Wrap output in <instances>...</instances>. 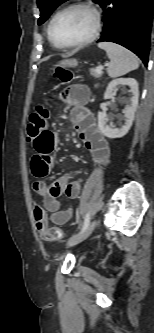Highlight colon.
<instances>
[{
    "mask_svg": "<svg viewBox=\"0 0 154 333\" xmlns=\"http://www.w3.org/2000/svg\"><path fill=\"white\" fill-rule=\"evenodd\" d=\"M55 76L65 83L70 82L72 79L71 71L61 67L56 69ZM49 116L50 110L46 106L39 105L35 108L29 117L27 125L26 137L28 141L33 142L41 131L45 129ZM34 219L36 227L43 239L56 241L62 238V229L48 226L47 214L39 205H36L34 208Z\"/></svg>",
    "mask_w": 154,
    "mask_h": 333,
    "instance_id": "5ec220e1",
    "label": "colon"
}]
</instances>
